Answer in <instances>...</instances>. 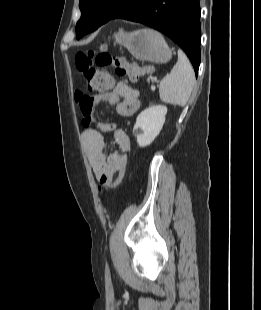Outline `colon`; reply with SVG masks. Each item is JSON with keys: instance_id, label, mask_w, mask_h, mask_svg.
Wrapping results in <instances>:
<instances>
[{"instance_id": "1", "label": "colon", "mask_w": 261, "mask_h": 310, "mask_svg": "<svg viewBox=\"0 0 261 310\" xmlns=\"http://www.w3.org/2000/svg\"><path fill=\"white\" fill-rule=\"evenodd\" d=\"M75 66L84 76L89 90L93 92H103L111 88L113 78L106 70L107 67L113 66L117 75L127 76L131 81H137L145 71V69L136 64L113 57L107 52L105 46H102L99 52H77L75 55ZM124 170L125 167L111 183H103L101 185L105 188L116 187L121 181Z\"/></svg>"}]
</instances>
